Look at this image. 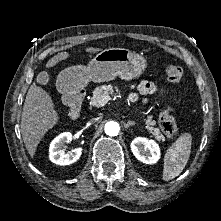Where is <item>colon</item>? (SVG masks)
<instances>
[{"mask_svg": "<svg viewBox=\"0 0 221 221\" xmlns=\"http://www.w3.org/2000/svg\"><path fill=\"white\" fill-rule=\"evenodd\" d=\"M164 75L166 79L171 83H179L183 78V69L176 64H171L165 67ZM173 108L171 105H167L160 113V127L164 134L174 139L179 134V128L172 116Z\"/></svg>", "mask_w": 221, "mask_h": 221, "instance_id": "1", "label": "colon"}]
</instances>
